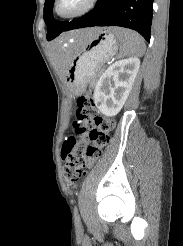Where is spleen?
<instances>
[{
    "mask_svg": "<svg viewBox=\"0 0 183 246\" xmlns=\"http://www.w3.org/2000/svg\"><path fill=\"white\" fill-rule=\"evenodd\" d=\"M116 37L119 43H121V55H144L146 49L145 42L138 33H135L129 29L118 28V31L116 32ZM94 55L95 54L92 53L90 56H85L81 60L80 66L91 61Z\"/></svg>",
    "mask_w": 183,
    "mask_h": 246,
    "instance_id": "3e777b00",
    "label": "spleen"
}]
</instances>
